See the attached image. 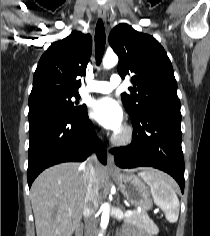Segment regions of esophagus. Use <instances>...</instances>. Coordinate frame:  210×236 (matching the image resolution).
<instances>
[{
  "label": "esophagus",
  "instance_id": "esophagus-1",
  "mask_svg": "<svg viewBox=\"0 0 210 236\" xmlns=\"http://www.w3.org/2000/svg\"><path fill=\"white\" fill-rule=\"evenodd\" d=\"M98 15L103 21L106 20V10L104 7L99 8ZM107 168L108 170L116 171L114 157L110 149L107 150Z\"/></svg>",
  "mask_w": 210,
  "mask_h": 236
}]
</instances>
